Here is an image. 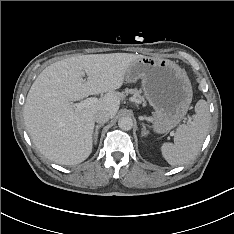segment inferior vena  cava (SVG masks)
<instances>
[{
    "label": "inferior vena cava",
    "mask_w": 234,
    "mask_h": 234,
    "mask_svg": "<svg viewBox=\"0 0 234 234\" xmlns=\"http://www.w3.org/2000/svg\"><path fill=\"white\" fill-rule=\"evenodd\" d=\"M111 118V114L105 110H99L94 114L97 123L104 124Z\"/></svg>",
    "instance_id": "inferior-vena-cava-1"
}]
</instances>
